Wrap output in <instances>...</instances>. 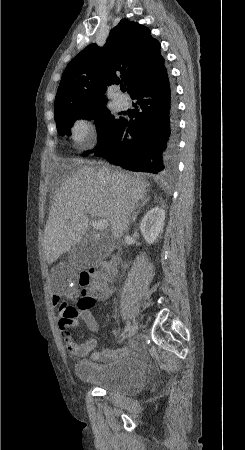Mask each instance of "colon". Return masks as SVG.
<instances>
[{"mask_svg": "<svg viewBox=\"0 0 245 450\" xmlns=\"http://www.w3.org/2000/svg\"><path fill=\"white\" fill-rule=\"evenodd\" d=\"M114 276V265L104 261H98L92 267L87 270H83L78 275L77 282L83 293V298L78 304V310L71 302L68 301L61 304L59 311L61 323L68 328L66 337L70 336V327L77 319L80 318L79 310L84 311L93 307L94 302L91 297L93 287H106L108 283L114 279Z\"/></svg>", "mask_w": 245, "mask_h": 450, "instance_id": "5ec220e1", "label": "colon"}]
</instances>
